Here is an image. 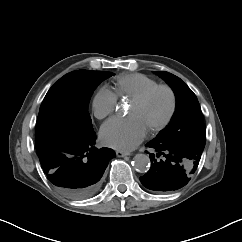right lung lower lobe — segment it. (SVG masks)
<instances>
[{"label": "right lung lower lobe", "mask_w": 242, "mask_h": 242, "mask_svg": "<svg viewBox=\"0 0 242 242\" xmlns=\"http://www.w3.org/2000/svg\"><path fill=\"white\" fill-rule=\"evenodd\" d=\"M94 131L85 135L54 133L36 142L37 155L48 180L64 195L85 199L95 195L115 152L97 149Z\"/></svg>", "instance_id": "98d812e1"}]
</instances>
